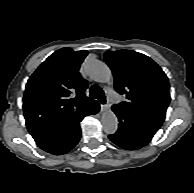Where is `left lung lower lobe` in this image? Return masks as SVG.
<instances>
[{
    "instance_id": "obj_1",
    "label": "left lung lower lobe",
    "mask_w": 194,
    "mask_h": 193,
    "mask_svg": "<svg viewBox=\"0 0 194 193\" xmlns=\"http://www.w3.org/2000/svg\"><path fill=\"white\" fill-rule=\"evenodd\" d=\"M119 120L116 133L109 139L119 147L136 150L148 144L162 124L112 106Z\"/></svg>"
}]
</instances>
